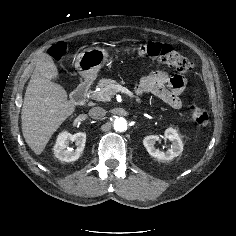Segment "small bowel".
<instances>
[{"mask_svg": "<svg viewBox=\"0 0 236 236\" xmlns=\"http://www.w3.org/2000/svg\"><path fill=\"white\" fill-rule=\"evenodd\" d=\"M186 80L178 74H169L158 70L143 77L137 85L138 93H151L174 109L182 107L180 94L183 92Z\"/></svg>", "mask_w": 236, "mask_h": 236, "instance_id": "obj_1", "label": "small bowel"}]
</instances>
